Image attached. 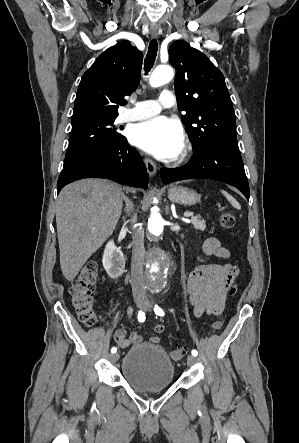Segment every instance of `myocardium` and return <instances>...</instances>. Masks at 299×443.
<instances>
[{"label":"myocardium","instance_id":"1","mask_svg":"<svg viewBox=\"0 0 299 443\" xmlns=\"http://www.w3.org/2000/svg\"><path fill=\"white\" fill-rule=\"evenodd\" d=\"M188 152H189V145L186 144V145L184 146V149H183V152H182V156H181V158L185 157V156L187 155Z\"/></svg>","mask_w":299,"mask_h":443}]
</instances>
